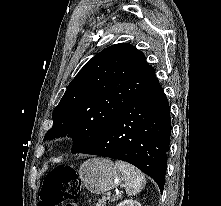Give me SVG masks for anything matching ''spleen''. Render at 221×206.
Returning <instances> with one entry per match:
<instances>
[{
    "instance_id": "obj_1",
    "label": "spleen",
    "mask_w": 221,
    "mask_h": 206,
    "mask_svg": "<svg viewBox=\"0 0 221 206\" xmlns=\"http://www.w3.org/2000/svg\"><path fill=\"white\" fill-rule=\"evenodd\" d=\"M115 165L121 171L126 193L129 196L139 193L146 184V179L143 173L134 166L122 161H116Z\"/></svg>"
}]
</instances>
